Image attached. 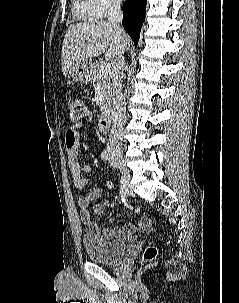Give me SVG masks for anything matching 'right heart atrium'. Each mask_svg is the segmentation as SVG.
Masks as SVG:
<instances>
[{
    "mask_svg": "<svg viewBox=\"0 0 239 303\" xmlns=\"http://www.w3.org/2000/svg\"><path fill=\"white\" fill-rule=\"evenodd\" d=\"M92 17L104 18L116 11L122 6L123 0H83Z\"/></svg>",
    "mask_w": 239,
    "mask_h": 303,
    "instance_id": "right-heart-atrium-1",
    "label": "right heart atrium"
}]
</instances>
